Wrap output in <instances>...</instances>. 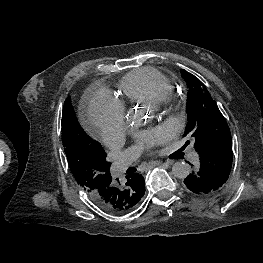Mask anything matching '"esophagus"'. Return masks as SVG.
Instances as JSON below:
<instances>
[{"instance_id": "obj_1", "label": "esophagus", "mask_w": 263, "mask_h": 263, "mask_svg": "<svg viewBox=\"0 0 263 263\" xmlns=\"http://www.w3.org/2000/svg\"><path fill=\"white\" fill-rule=\"evenodd\" d=\"M162 162H160V161H153V162H150L149 164H148V168H153V167H155V166H157V165H160ZM168 164H172V162H167Z\"/></svg>"}]
</instances>
